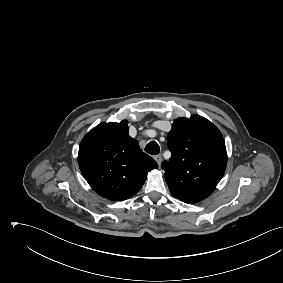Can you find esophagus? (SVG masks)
Returning <instances> with one entry per match:
<instances>
[{
    "label": "esophagus",
    "instance_id": "obj_1",
    "mask_svg": "<svg viewBox=\"0 0 283 283\" xmlns=\"http://www.w3.org/2000/svg\"><path fill=\"white\" fill-rule=\"evenodd\" d=\"M154 159L156 160V162L158 163V165L160 166L162 163V156L161 155H156L154 157Z\"/></svg>",
    "mask_w": 283,
    "mask_h": 283
}]
</instances>
